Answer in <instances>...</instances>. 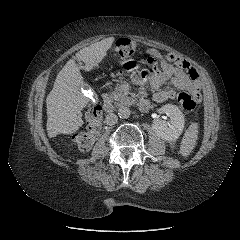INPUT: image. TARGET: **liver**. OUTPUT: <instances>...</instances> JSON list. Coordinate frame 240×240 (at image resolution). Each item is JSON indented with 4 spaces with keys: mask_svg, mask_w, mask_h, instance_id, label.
Segmentation results:
<instances>
[{
    "mask_svg": "<svg viewBox=\"0 0 240 240\" xmlns=\"http://www.w3.org/2000/svg\"><path fill=\"white\" fill-rule=\"evenodd\" d=\"M113 41L114 38L109 37L81 49L57 74L53 89L46 99L49 138L75 133L84 123L81 110L86 105V98L80 92L84 81L75 60L84 62L85 70L91 71L99 66Z\"/></svg>",
    "mask_w": 240,
    "mask_h": 240,
    "instance_id": "6515ba94",
    "label": "liver"
}]
</instances>
